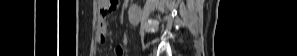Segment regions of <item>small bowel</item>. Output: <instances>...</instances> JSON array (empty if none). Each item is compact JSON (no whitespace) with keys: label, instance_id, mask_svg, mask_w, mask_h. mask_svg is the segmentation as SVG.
<instances>
[{"label":"small bowel","instance_id":"small-bowel-1","mask_svg":"<svg viewBox=\"0 0 297 56\" xmlns=\"http://www.w3.org/2000/svg\"><path fill=\"white\" fill-rule=\"evenodd\" d=\"M118 5L117 0H99L98 7L100 12V20H99V35L98 41L100 43H106L107 41V24L105 18L116 9ZM116 56L123 55V48L121 46H117L115 49Z\"/></svg>","mask_w":297,"mask_h":56}]
</instances>
